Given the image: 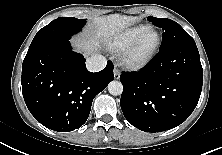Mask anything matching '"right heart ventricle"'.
Wrapping results in <instances>:
<instances>
[{
  "mask_svg": "<svg viewBox=\"0 0 222 155\" xmlns=\"http://www.w3.org/2000/svg\"><path fill=\"white\" fill-rule=\"evenodd\" d=\"M148 29H150V26L147 24L130 26L111 38L109 48L112 50L125 49Z\"/></svg>",
  "mask_w": 222,
  "mask_h": 155,
  "instance_id": "1",
  "label": "right heart ventricle"
}]
</instances>
